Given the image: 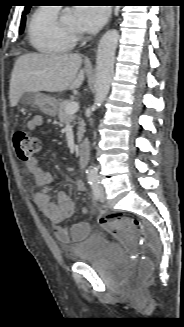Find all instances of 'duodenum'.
I'll list each match as a JSON object with an SVG mask.
<instances>
[{"instance_id":"1","label":"duodenum","mask_w":184,"mask_h":327,"mask_svg":"<svg viewBox=\"0 0 184 327\" xmlns=\"http://www.w3.org/2000/svg\"><path fill=\"white\" fill-rule=\"evenodd\" d=\"M88 149H89L88 141L83 140L79 144V149H78L79 162L82 168H84L87 163Z\"/></svg>"}]
</instances>
